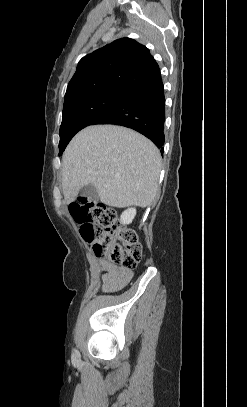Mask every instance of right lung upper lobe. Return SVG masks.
Instances as JSON below:
<instances>
[{"mask_svg":"<svg viewBox=\"0 0 247 407\" xmlns=\"http://www.w3.org/2000/svg\"><path fill=\"white\" fill-rule=\"evenodd\" d=\"M160 75L150 51L133 39L122 38L86 55L70 80L64 105L109 87L138 89Z\"/></svg>","mask_w":247,"mask_h":407,"instance_id":"obj_1","label":"right lung upper lobe"}]
</instances>
